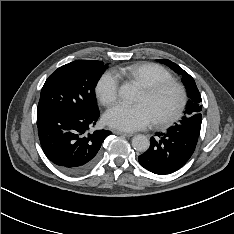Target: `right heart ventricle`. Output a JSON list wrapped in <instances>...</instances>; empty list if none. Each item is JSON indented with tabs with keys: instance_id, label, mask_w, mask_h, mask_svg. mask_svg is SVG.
<instances>
[{
	"instance_id": "1",
	"label": "right heart ventricle",
	"mask_w": 234,
	"mask_h": 234,
	"mask_svg": "<svg viewBox=\"0 0 234 234\" xmlns=\"http://www.w3.org/2000/svg\"><path fill=\"white\" fill-rule=\"evenodd\" d=\"M117 72L119 75L135 80L143 88L157 82L173 80L170 72L154 63H138L121 68Z\"/></svg>"
}]
</instances>
